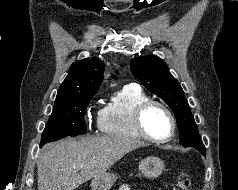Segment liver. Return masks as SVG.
<instances>
[{"mask_svg":"<svg viewBox=\"0 0 238 190\" xmlns=\"http://www.w3.org/2000/svg\"><path fill=\"white\" fill-rule=\"evenodd\" d=\"M142 146L139 141L117 137H82L47 145L37 160L38 190H74Z\"/></svg>","mask_w":238,"mask_h":190,"instance_id":"1","label":"liver"}]
</instances>
